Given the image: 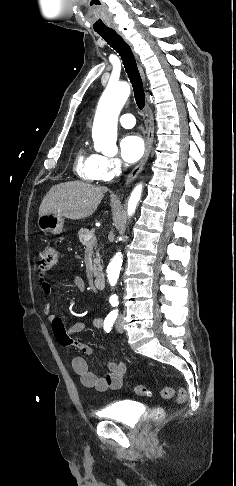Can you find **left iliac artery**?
Here are the masks:
<instances>
[{"instance_id": "left-iliac-artery-1", "label": "left iliac artery", "mask_w": 236, "mask_h": 486, "mask_svg": "<svg viewBox=\"0 0 236 486\" xmlns=\"http://www.w3.org/2000/svg\"><path fill=\"white\" fill-rule=\"evenodd\" d=\"M110 303L112 304V306H117L118 305L117 299H111L110 300Z\"/></svg>"}]
</instances>
